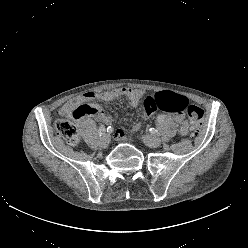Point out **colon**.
<instances>
[{
    "instance_id": "5ec220e1",
    "label": "colon",
    "mask_w": 248,
    "mask_h": 248,
    "mask_svg": "<svg viewBox=\"0 0 248 248\" xmlns=\"http://www.w3.org/2000/svg\"><path fill=\"white\" fill-rule=\"evenodd\" d=\"M144 110L146 117L153 115L157 111L172 114L182 113L185 111L190 120L189 133L192 136L198 135L203 128L204 111L200 107L190 104L185 97L172 92H159L147 97L144 102ZM88 113H90L88 105H81L72 112V117L74 119H80ZM54 128L56 134L65 139L70 145H76L78 143V131L72 122L67 120H58L55 123Z\"/></svg>"
}]
</instances>
